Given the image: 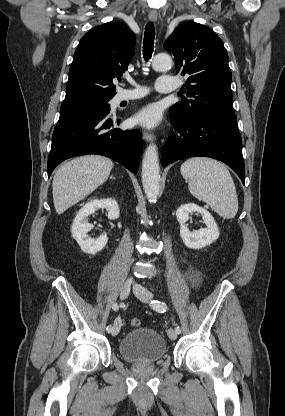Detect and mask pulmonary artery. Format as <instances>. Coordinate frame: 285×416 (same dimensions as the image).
<instances>
[{"instance_id": "1", "label": "pulmonary artery", "mask_w": 285, "mask_h": 416, "mask_svg": "<svg viewBox=\"0 0 285 416\" xmlns=\"http://www.w3.org/2000/svg\"><path fill=\"white\" fill-rule=\"evenodd\" d=\"M130 83L134 86L137 85L134 81H131ZM180 85L181 81L179 79L174 78L173 76L161 75L157 79V89L158 91L163 93L173 91L180 87ZM131 93V89H123L122 91H119L112 100V106L117 107L123 101H129L140 97V95H132Z\"/></svg>"}]
</instances>
